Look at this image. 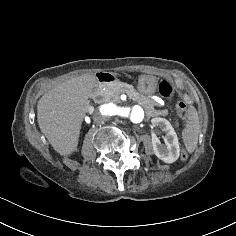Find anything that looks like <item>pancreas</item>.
<instances>
[{"label": "pancreas", "mask_w": 236, "mask_h": 236, "mask_svg": "<svg viewBox=\"0 0 236 236\" xmlns=\"http://www.w3.org/2000/svg\"><path fill=\"white\" fill-rule=\"evenodd\" d=\"M109 92H111L110 99L113 102H119L118 96L126 93L131 100L136 101L140 106L144 107L147 116H165L168 112L167 109L157 110L156 107H161V105L146 95L134 90L132 85L122 82H114L113 86L109 89ZM113 95L116 98H113Z\"/></svg>", "instance_id": "pancreas-1"}]
</instances>
